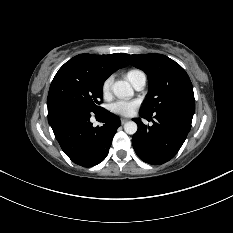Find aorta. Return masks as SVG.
Here are the masks:
<instances>
[{"mask_svg": "<svg viewBox=\"0 0 233 233\" xmlns=\"http://www.w3.org/2000/svg\"><path fill=\"white\" fill-rule=\"evenodd\" d=\"M114 95L120 99L132 97L134 92L131 85L126 81H116L112 85ZM137 124L134 121H128L124 124V130L127 134L133 135L137 132Z\"/></svg>", "mask_w": 233, "mask_h": 233, "instance_id": "aorta-1", "label": "aorta"}]
</instances>
